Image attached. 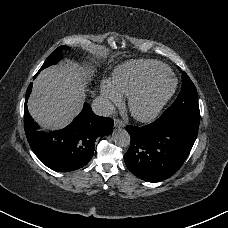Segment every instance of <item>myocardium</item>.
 Instances as JSON below:
<instances>
[{"instance_id":"obj_1","label":"myocardium","mask_w":228,"mask_h":228,"mask_svg":"<svg viewBox=\"0 0 228 228\" xmlns=\"http://www.w3.org/2000/svg\"><path fill=\"white\" fill-rule=\"evenodd\" d=\"M167 79H158L153 80L151 82H148L145 84L142 88H140L138 91H136L129 100V109L132 113V115L143 122H150L152 121L156 115L159 113L161 108L165 105V103L169 100L172 92L173 87H171L169 90L166 91V93L158 100L156 101L150 109L146 111H142L139 109V102L149 93V91L157 84H160L162 82H168Z\"/></svg>"}]
</instances>
